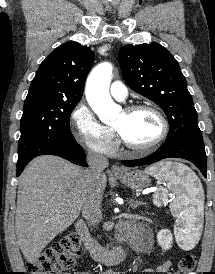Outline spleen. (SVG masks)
<instances>
[{
    "instance_id": "1",
    "label": "spleen",
    "mask_w": 215,
    "mask_h": 274,
    "mask_svg": "<svg viewBox=\"0 0 215 274\" xmlns=\"http://www.w3.org/2000/svg\"><path fill=\"white\" fill-rule=\"evenodd\" d=\"M145 172L167 182V187L160 186L154 194V204L170 201L177 241L193 246L199 240L204 214V191L198 177L187 166L171 162L150 166Z\"/></svg>"
}]
</instances>
